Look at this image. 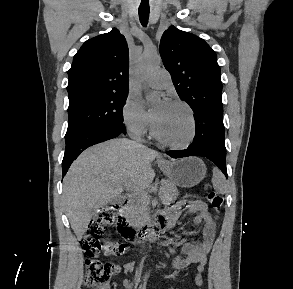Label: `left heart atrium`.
Masks as SVG:
<instances>
[{
  "mask_svg": "<svg viewBox=\"0 0 293 289\" xmlns=\"http://www.w3.org/2000/svg\"><path fill=\"white\" fill-rule=\"evenodd\" d=\"M168 106H169V103L168 102H166V101H164L161 105H160V107L158 108V110L155 112V114L153 115V120H154V122L156 121V120H158L161 116H162V114L166 111V109L168 108Z\"/></svg>",
  "mask_w": 293,
  "mask_h": 289,
  "instance_id": "1",
  "label": "left heart atrium"
}]
</instances>
